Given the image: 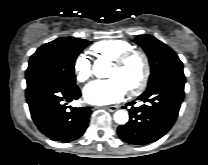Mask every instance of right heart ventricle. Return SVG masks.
<instances>
[{
	"label": "right heart ventricle",
	"instance_id": "1",
	"mask_svg": "<svg viewBox=\"0 0 208 165\" xmlns=\"http://www.w3.org/2000/svg\"><path fill=\"white\" fill-rule=\"evenodd\" d=\"M133 48V45L126 40L105 39L95 43L91 47V51L96 55L111 61L122 53Z\"/></svg>",
	"mask_w": 208,
	"mask_h": 165
}]
</instances>
